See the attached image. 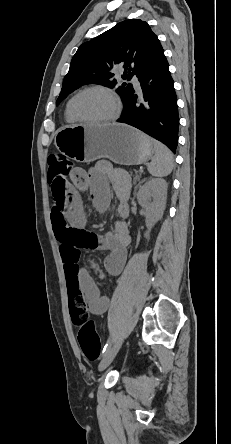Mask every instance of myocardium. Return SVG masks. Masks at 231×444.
<instances>
[{
	"label": "myocardium",
	"mask_w": 231,
	"mask_h": 444,
	"mask_svg": "<svg viewBox=\"0 0 231 444\" xmlns=\"http://www.w3.org/2000/svg\"><path fill=\"white\" fill-rule=\"evenodd\" d=\"M93 90H98V91L104 92L105 94H107L110 97V99L112 100L113 105H114V112L112 115H110L107 118L100 119V120H89V119H86L85 117H83L82 115H80V113L77 110V102H78L79 98L83 94H85L86 92L93 91ZM71 111H72L73 116L78 121H80L82 123L90 124V125H104V124L112 123L118 119V117L121 113V102H120L118 96L116 95V93L112 89H110L106 86H103V85H91V86L85 87L84 89L79 91L74 96V98L72 100V104H71Z\"/></svg>",
	"instance_id": "f54148a6"
}]
</instances>
